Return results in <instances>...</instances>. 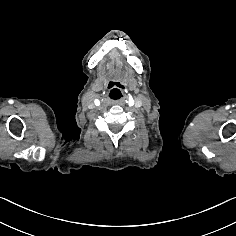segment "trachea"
Instances as JSON below:
<instances>
[{
  "instance_id": "obj_1",
  "label": "trachea",
  "mask_w": 236,
  "mask_h": 236,
  "mask_svg": "<svg viewBox=\"0 0 236 236\" xmlns=\"http://www.w3.org/2000/svg\"><path fill=\"white\" fill-rule=\"evenodd\" d=\"M125 97V92L122 89L114 88L107 93V99L110 102H115L117 100H122Z\"/></svg>"
}]
</instances>
